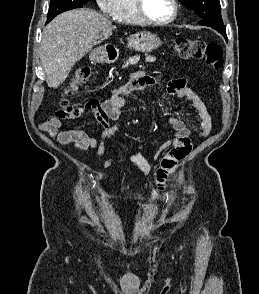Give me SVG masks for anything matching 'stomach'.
Here are the masks:
<instances>
[{
    "label": "stomach",
    "mask_w": 259,
    "mask_h": 294,
    "mask_svg": "<svg viewBox=\"0 0 259 294\" xmlns=\"http://www.w3.org/2000/svg\"><path fill=\"white\" fill-rule=\"evenodd\" d=\"M162 41L150 32H141L128 38V47L137 52L148 53L160 47Z\"/></svg>",
    "instance_id": "1"
}]
</instances>
